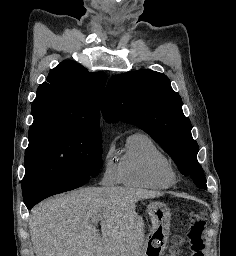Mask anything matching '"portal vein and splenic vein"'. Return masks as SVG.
I'll list each match as a JSON object with an SVG mask.
<instances>
[{
  "label": "portal vein and splenic vein",
  "mask_w": 236,
  "mask_h": 256,
  "mask_svg": "<svg viewBox=\"0 0 236 256\" xmlns=\"http://www.w3.org/2000/svg\"><path fill=\"white\" fill-rule=\"evenodd\" d=\"M102 216H93L91 222L92 224H98V222H101Z\"/></svg>",
  "instance_id": "1"
}]
</instances>
